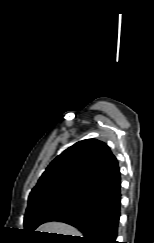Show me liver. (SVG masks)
<instances>
[{"instance_id": "obj_1", "label": "liver", "mask_w": 154, "mask_h": 243, "mask_svg": "<svg viewBox=\"0 0 154 243\" xmlns=\"http://www.w3.org/2000/svg\"><path fill=\"white\" fill-rule=\"evenodd\" d=\"M37 231L40 232H48V233H56L63 235H71V236H80L81 233L74 227L62 223V222H47L41 225ZM82 237V236H80Z\"/></svg>"}]
</instances>
